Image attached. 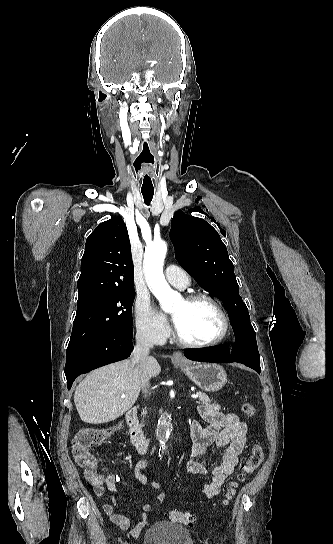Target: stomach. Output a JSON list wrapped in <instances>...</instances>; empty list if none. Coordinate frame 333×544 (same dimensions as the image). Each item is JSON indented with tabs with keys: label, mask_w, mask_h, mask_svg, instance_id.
Listing matches in <instances>:
<instances>
[{
	"label": "stomach",
	"mask_w": 333,
	"mask_h": 544,
	"mask_svg": "<svg viewBox=\"0 0 333 544\" xmlns=\"http://www.w3.org/2000/svg\"><path fill=\"white\" fill-rule=\"evenodd\" d=\"M197 386L206 392H216L227 382L224 368L216 363H198L184 365L176 363Z\"/></svg>",
	"instance_id": "1"
}]
</instances>
